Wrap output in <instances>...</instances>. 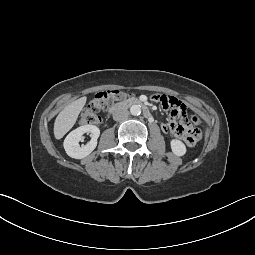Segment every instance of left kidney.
<instances>
[{
    "label": "left kidney",
    "mask_w": 255,
    "mask_h": 255,
    "mask_svg": "<svg viewBox=\"0 0 255 255\" xmlns=\"http://www.w3.org/2000/svg\"><path fill=\"white\" fill-rule=\"evenodd\" d=\"M171 145V149L172 152L176 155V156H183L186 153V146L184 145L183 142H181L180 140L177 139H173L170 142Z\"/></svg>",
    "instance_id": "1"
}]
</instances>
